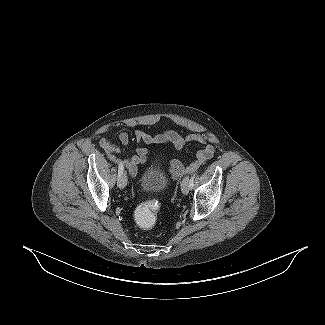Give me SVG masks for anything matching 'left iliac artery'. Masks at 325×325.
Returning <instances> with one entry per match:
<instances>
[{
  "label": "left iliac artery",
  "mask_w": 325,
  "mask_h": 325,
  "mask_svg": "<svg viewBox=\"0 0 325 325\" xmlns=\"http://www.w3.org/2000/svg\"><path fill=\"white\" fill-rule=\"evenodd\" d=\"M196 175H197V173L193 174V176H191V178H190V181H189L190 189H192L194 186V179H195Z\"/></svg>",
  "instance_id": "obj_1"
}]
</instances>
